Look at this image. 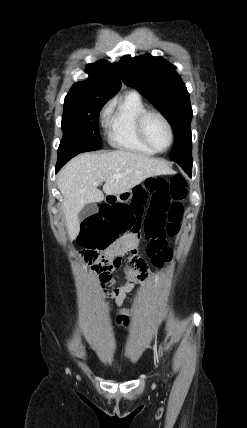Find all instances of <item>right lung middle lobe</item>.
I'll list each match as a JSON object with an SVG mask.
<instances>
[{
  "label": "right lung middle lobe",
  "mask_w": 247,
  "mask_h": 428,
  "mask_svg": "<svg viewBox=\"0 0 247 428\" xmlns=\"http://www.w3.org/2000/svg\"><path fill=\"white\" fill-rule=\"evenodd\" d=\"M108 99L89 94L67 95L62 117L63 139L58 155L79 154L101 147L99 113Z\"/></svg>",
  "instance_id": "right-lung-middle-lobe-1"
}]
</instances>
